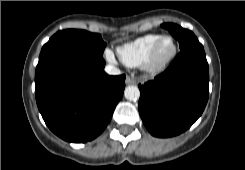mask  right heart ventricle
Wrapping results in <instances>:
<instances>
[{
    "label": "right heart ventricle",
    "mask_w": 245,
    "mask_h": 170,
    "mask_svg": "<svg viewBox=\"0 0 245 170\" xmlns=\"http://www.w3.org/2000/svg\"><path fill=\"white\" fill-rule=\"evenodd\" d=\"M159 35L148 34L136 38L117 48V54L121 61L129 67L142 65L143 60Z\"/></svg>",
    "instance_id": "right-heart-ventricle-1"
}]
</instances>
